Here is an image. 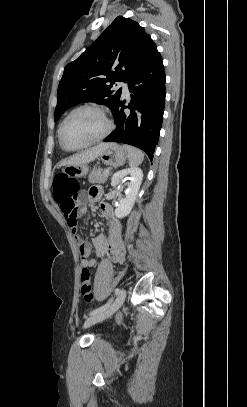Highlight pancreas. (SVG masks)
Listing matches in <instances>:
<instances>
[{
  "instance_id": "1",
  "label": "pancreas",
  "mask_w": 247,
  "mask_h": 407,
  "mask_svg": "<svg viewBox=\"0 0 247 407\" xmlns=\"http://www.w3.org/2000/svg\"><path fill=\"white\" fill-rule=\"evenodd\" d=\"M108 176L109 173H104L103 169L97 168L88 176V181L90 183H104L107 181Z\"/></svg>"
}]
</instances>
